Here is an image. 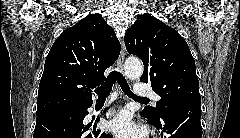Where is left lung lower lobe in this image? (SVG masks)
Segmentation results:
<instances>
[{
	"instance_id": "obj_1",
	"label": "left lung lower lobe",
	"mask_w": 240,
	"mask_h": 138,
	"mask_svg": "<svg viewBox=\"0 0 240 138\" xmlns=\"http://www.w3.org/2000/svg\"><path fill=\"white\" fill-rule=\"evenodd\" d=\"M147 121L165 138H201V101L195 99L171 103L165 107L159 118H152L144 111Z\"/></svg>"
}]
</instances>
